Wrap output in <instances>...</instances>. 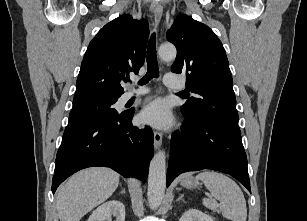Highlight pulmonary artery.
Masks as SVG:
<instances>
[{"instance_id":"e3ab8cb5","label":"pulmonary artery","mask_w":307,"mask_h":221,"mask_svg":"<svg viewBox=\"0 0 307 221\" xmlns=\"http://www.w3.org/2000/svg\"><path fill=\"white\" fill-rule=\"evenodd\" d=\"M134 83V82H133ZM164 83L166 86L170 87V88H174V89H179L183 87V83L182 81L178 78L177 75L173 74V73H167L164 76ZM148 93V89L147 88H141L138 89L136 91H128L123 95L122 100L124 102L135 98V97H140L143 96L145 94Z\"/></svg>"}]
</instances>
